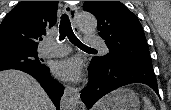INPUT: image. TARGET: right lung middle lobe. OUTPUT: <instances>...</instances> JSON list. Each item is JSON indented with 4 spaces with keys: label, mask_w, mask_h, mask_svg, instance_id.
<instances>
[{
    "label": "right lung middle lobe",
    "mask_w": 171,
    "mask_h": 110,
    "mask_svg": "<svg viewBox=\"0 0 171 110\" xmlns=\"http://www.w3.org/2000/svg\"><path fill=\"white\" fill-rule=\"evenodd\" d=\"M38 58L37 48L23 46H0V71L6 69L44 68Z\"/></svg>",
    "instance_id": "right-lung-middle-lobe-1"
}]
</instances>
